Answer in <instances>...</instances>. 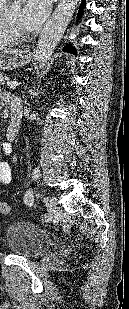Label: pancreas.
<instances>
[{
	"mask_svg": "<svg viewBox=\"0 0 129 309\" xmlns=\"http://www.w3.org/2000/svg\"><path fill=\"white\" fill-rule=\"evenodd\" d=\"M7 80H8V77L4 75L3 73H0V85L5 84Z\"/></svg>",
	"mask_w": 129,
	"mask_h": 309,
	"instance_id": "obj_1",
	"label": "pancreas"
}]
</instances>
